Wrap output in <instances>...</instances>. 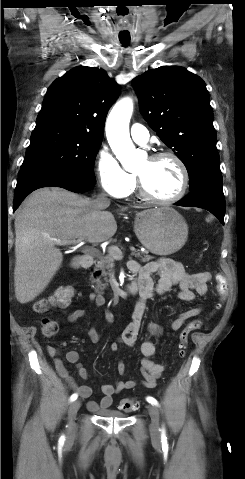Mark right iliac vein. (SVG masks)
<instances>
[{"label": "right iliac vein", "mask_w": 245, "mask_h": 479, "mask_svg": "<svg viewBox=\"0 0 245 479\" xmlns=\"http://www.w3.org/2000/svg\"><path fill=\"white\" fill-rule=\"evenodd\" d=\"M80 408V401H74L70 404L68 409V423L69 428L73 430L75 428L74 418Z\"/></svg>", "instance_id": "1"}]
</instances>
